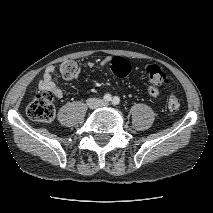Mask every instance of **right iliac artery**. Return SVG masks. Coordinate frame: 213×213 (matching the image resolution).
<instances>
[{
	"instance_id": "obj_1",
	"label": "right iliac artery",
	"mask_w": 213,
	"mask_h": 213,
	"mask_svg": "<svg viewBox=\"0 0 213 213\" xmlns=\"http://www.w3.org/2000/svg\"><path fill=\"white\" fill-rule=\"evenodd\" d=\"M103 99L106 101V102H109L112 100V96L110 94H105Z\"/></svg>"
}]
</instances>
